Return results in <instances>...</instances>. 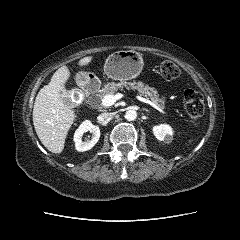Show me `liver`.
I'll use <instances>...</instances> for the list:
<instances>
[{"label":"liver","mask_w":240,"mask_h":240,"mask_svg":"<svg viewBox=\"0 0 240 240\" xmlns=\"http://www.w3.org/2000/svg\"><path fill=\"white\" fill-rule=\"evenodd\" d=\"M93 60L87 56L79 60L78 65L87 66ZM70 77L66 66L60 67L37 94L33 108V124L38 138L52 153L59 154L64 149L65 139L72 126L75 111L64 103L61 91Z\"/></svg>","instance_id":"1"}]
</instances>
